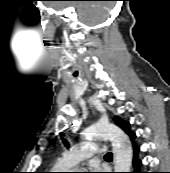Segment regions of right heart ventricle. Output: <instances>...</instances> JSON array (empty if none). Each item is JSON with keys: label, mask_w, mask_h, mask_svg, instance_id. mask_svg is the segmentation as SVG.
Segmentation results:
<instances>
[{"label": "right heart ventricle", "mask_w": 170, "mask_h": 173, "mask_svg": "<svg viewBox=\"0 0 170 173\" xmlns=\"http://www.w3.org/2000/svg\"><path fill=\"white\" fill-rule=\"evenodd\" d=\"M55 168H56V169H65V168H67V166H66V161H65V159H64L63 156L60 157V158L58 159Z\"/></svg>", "instance_id": "1"}]
</instances>
